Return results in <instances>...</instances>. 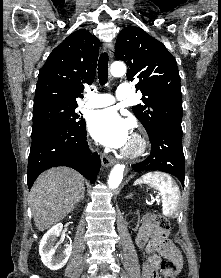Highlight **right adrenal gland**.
Segmentation results:
<instances>
[{"label":"right adrenal gland","instance_id":"right-adrenal-gland-1","mask_svg":"<svg viewBox=\"0 0 221 278\" xmlns=\"http://www.w3.org/2000/svg\"><path fill=\"white\" fill-rule=\"evenodd\" d=\"M84 197H85V189L83 190V193H82L81 197L79 198V200L77 201V203H79L80 200H83Z\"/></svg>","mask_w":221,"mask_h":278}]
</instances>
